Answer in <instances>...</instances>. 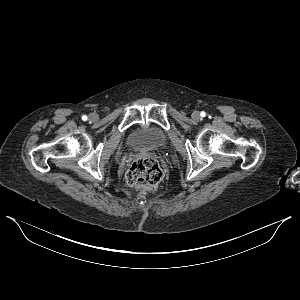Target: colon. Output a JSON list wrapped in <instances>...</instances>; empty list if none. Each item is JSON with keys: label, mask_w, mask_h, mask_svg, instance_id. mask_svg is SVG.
Masks as SVG:
<instances>
[{"label": "colon", "mask_w": 300, "mask_h": 300, "mask_svg": "<svg viewBox=\"0 0 300 300\" xmlns=\"http://www.w3.org/2000/svg\"><path fill=\"white\" fill-rule=\"evenodd\" d=\"M162 170L152 156H142L133 161L126 173L128 184L138 190L151 191L162 179Z\"/></svg>", "instance_id": "obj_1"}]
</instances>
